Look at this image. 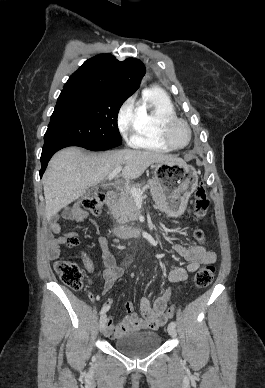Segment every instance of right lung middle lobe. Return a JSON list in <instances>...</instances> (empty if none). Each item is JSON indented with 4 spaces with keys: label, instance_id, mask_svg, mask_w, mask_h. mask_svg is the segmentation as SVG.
Returning <instances> with one entry per match:
<instances>
[{
    "label": "right lung middle lobe",
    "instance_id": "1",
    "mask_svg": "<svg viewBox=\"0 0 265 388\" xmlns=\"http://www.w3.org/2000/svg\"><path fill=\"white\" fill-rule=\"evenodd\" d=\"M127 98L112 92H61L44 135V147L72 142L101 151L121 145L117 116Z\"/></svg>",
    "mask_w": 265,
    "mask_h": 388
}]
</instances>
